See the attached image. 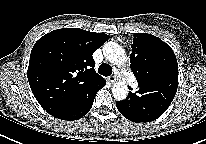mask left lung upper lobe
Wrapping results in <instances>:
<instances>
[{"instance_id": "left-lung-upper-lobe-1", "label": "left lung upper lobe", "mask_w": 206, "mask_h": 144, "mask_svg": "<svg viewBox=\"0 0 206 144\" xmlns=\"http://www.w3.org/2000/svg\"><path fill=\"white\" fill-rule=\"evenodd\" d=\"M130 60L139 87L170 104L178 87V64L171 47L151 34L135 33ZM137 107L132 103V108Z\"/></svg>"}]
</instances>
